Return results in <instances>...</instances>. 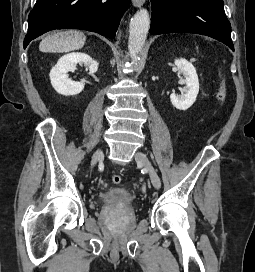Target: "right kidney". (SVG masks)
<instances>
[{"label":"right kidney","mask_w":255,"mask_h":272,"mask_svg":"<svg viewBox=\"0 0 255 272\" xmlns=\"http://www.w3.org/2000/svg\"><path fill=\"white\" fill-rule=\"evenodd\" d=\"M78 63H84L89 68L92 75L98 70L97 61L93 60L88 54L73 52L63 55L57 64L50 71V80L53 88L61 95H77L84 89L85 79L75 82L69 79L68 72L74 71Z\"/></svg>","instance_id":"1"}]
</instances>
